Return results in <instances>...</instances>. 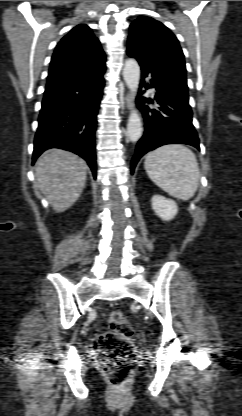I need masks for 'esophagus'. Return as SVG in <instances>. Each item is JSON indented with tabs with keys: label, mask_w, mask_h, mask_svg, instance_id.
Instances as JSON below:
<instances>
[{
	"label": "esophagus",
	"mask_w": 242,
	"mask_h": 416,
	"mask_svg": "<svg viewBox=\"0 0 242 416\" xmlns=\"http://www.w3.org/2000/svg\"><path fill=\"white\" fill-rule=\"evenodd\" d=\"M125 104L127 106L128 109L132 108V97L130 96V94H127L125 97Z\"/></svg>",
	"instance_id": "1"
}]
</instances>
